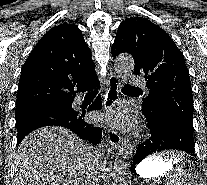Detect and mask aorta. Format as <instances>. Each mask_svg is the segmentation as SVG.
I'll return each mask as SVG.
<instances>
[{"label": "aorta", "mask_w": 207, "mask_h": 185, "mask_svg": "<svg viewBox=\"0 0 207 185\" xmlns=\"http://www.w3.org/2000/svg\"><path fill=\"white\" fill-rule=\"evenodd\" d=\"M117 77L123 82L134 69V60L129 54L119 55L114 62ZM133 156V146L129 138L122 140L115 155L113 185H128L129 169Z\"/></svg>", "instance_id": "1"}]
</instances>
